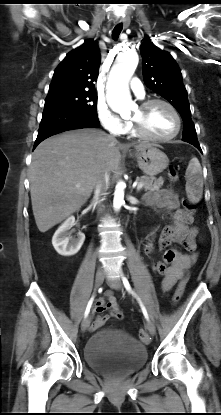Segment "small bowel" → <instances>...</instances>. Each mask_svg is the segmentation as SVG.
Returning <instances> with one entry per match:
<instances>
[{
  "label": "small bowel",
  "instance_id": "1",
  "mask_svg": "<svg viewBox=\"0 0 221 415\" xmlns=\"http://www.w3.org/2000/svg\"><path fill=\"white\" fill-rule=\"evenodd\" d=\"M145 203L159 212L169 214L173 220L171 225L164 227L158 240V247L163 252V260L151 266L153 271L164 275L161 289L168 291L177 280L184 277L196 260V231L189 229L193 217L188 210L179 207L178 196L169 189L146 194ZM174 244L181 245L186 253L172 248ZM152 248L153 235L146 243V252H150ZM94 311L98 316L91 325L92 329L101 327L111 318H122L117 300L110 291L97 301Z\"/></svg>",
  "mask_w": 221,
  "mask_h": 415
}]
</instances>
